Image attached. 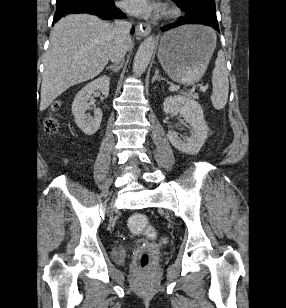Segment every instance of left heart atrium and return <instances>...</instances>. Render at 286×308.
Masks as SVG:
<instances>
[{"label":"left heart atrium","instance_id":"1","mask_svg":"<svg viewBox=\"0 0 286 308\" xmlns=\"http://www.w3.org/2000/svg\"><path fill=\"white\" fill-rule=\"evenodd\" d=\"M122 6L136 16H147L157 10L151 0H123Z\"/></svg>","mask_w":286,"mask_h":308}]
</instances>
